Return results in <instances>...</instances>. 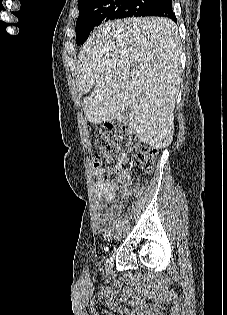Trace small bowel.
I'll return each instance as SVG.
<instances>
[{
  "label": "small bowel",
  "mask_w": 227,
  "mask_h": 315,
  "mask_svg": "<svg viewBox=\"0 0 227 315\" xmlns=\"http://www.w3.org/2000/svg\"><path fill=\"white\" fill-rule=\"evenodd\" d=\"M129 163V159L125 154H120L116 163V175L114 179L95 183V189L99 199V206L101 211L98 215L97 225L101 232L108 231L116 222L115 217L120 215L123 209V204L117 202L111 209H106V204L112 202L116 193L119 191L124 199H128L132 194L137 192L136 189H130L127 183V175L124 169Z\"/></svg>",
  "instance_id": "obj_1"
}]
</instances>
